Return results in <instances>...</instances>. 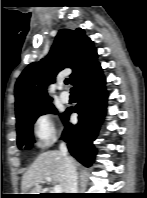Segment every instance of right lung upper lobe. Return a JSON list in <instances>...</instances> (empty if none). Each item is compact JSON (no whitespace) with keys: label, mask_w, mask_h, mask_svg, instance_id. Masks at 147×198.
Returning <instances> with one entry per match:
<instances>
[{"label":"right lung upper lobe","mask_w":147,"mask_h":198,"mask_svg":"<svg viewBox=\"0 0 147 198\" xmlns=\"http://www.w3.org/2000/svg\"><path fill=\"white\" fill-rule=\"evenodd\" d=\"M97 56L93 42L83 29L59 30L48 56L26 67L16 82L17 122L51 104L47 86L55 82L58 72L71 68L70 78L75 86L99 64Z\"/></svg>","instance_id":"1"}]
</instances>
